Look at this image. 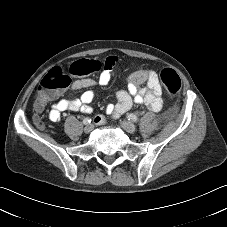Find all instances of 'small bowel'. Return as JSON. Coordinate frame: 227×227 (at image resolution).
<instances>
[{
  "mask_svg": "<svg viewBox=\"0 0 227 227\" xmlns=\"http://www.w3.org/2000/svg\"><path fill=\"white\" fill-rule=\"evenodd\" d=\"M117 64L114 57H107L102 63V70L97 80L82 78L75 80L70 90L78 91L85 89L80 98H64L59 100L49 111L48 118L51 121H58L61 113L65 111H81L91 114L93 107L91 103L95 99V88L97 86H107L112 80L113 71ZM146 81V87L140 84ZM126 90L116 92L117 103L106 106V114L112 117H119L131 109L133 104H143L149 110L158 112L161 110L163 101L161 98V86L158 76L153 70H137L126 79ZM99 122H104L105 117H100Z\"/></svg>",
  "mask_w": 227,
  "mask_h": 227,
  "instance_id": "small-bowel-1",
  "label": "small bowel"
}]
</instances>
